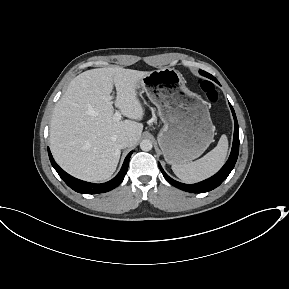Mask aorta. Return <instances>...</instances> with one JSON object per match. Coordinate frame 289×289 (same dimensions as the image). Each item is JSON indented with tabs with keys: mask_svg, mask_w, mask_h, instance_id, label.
Here are the masks:
<instances>
[{
	"mask_svg": "<svg viewBox=\"0 0 289 289\" xmlns=\"http://www.w3.org/2000/svg\"><path fill=\"white\" fill-rule=\"evenodd\" d=\"M153 147V144L150 140H142L141 143H140V148L143 150V151H150Z\"/></svg>",
	"mask_w": 289,
	"mask_h": 289,
	"instance_id": "aorta-1",
	"label": "aorta"
}]
</instances>
